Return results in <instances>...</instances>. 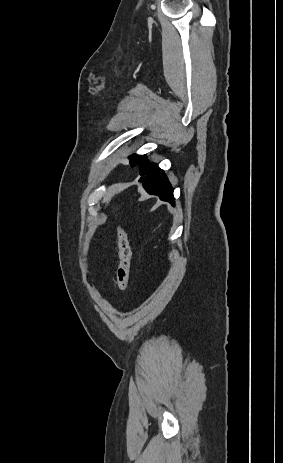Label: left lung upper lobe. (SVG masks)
<instances>
[{"label":"left lung upper lobe","mask_w":283,"mask_h":463,"mask_svg":"<svg viewBox=\"0 0 283 463\" xmlns=\"http://www.w3.org/2000/svg\"><path fill=\"white\" fill-rule=\"evenodd\" d=\"M141 157H142V156H139V155H132V156H130L129 159H130V164H131V166H132V167H133V166H136L137 163H138V161L141 159Z\"/></svg>","instance_id":"left-lung-upper-lobe-1"}]
</instances>
